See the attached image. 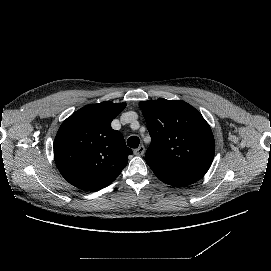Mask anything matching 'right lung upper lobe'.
Listing matches in <instances>:
<instances>
[{
	"label": "right lung upper lobe",
	"mask_w": 271,
	"mask_h": 271,
	"mask_svg": "<svg viewBox=\"0 0 271 271\" xmlns=\"http://www.w3.org/2000/svg\"><path fill=\"white\" fill-rule=\"evenodd\" d=\"M125 107V103L110 101L87 105L61 124L54 140V158L71 185L85 191L100 190L127 165L132 150L121 132L111 128L112 120Z\"/></svg>",
	"instance_id": "1"
}]
</instances>
